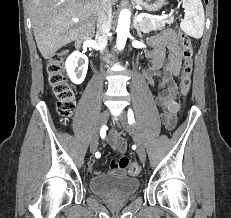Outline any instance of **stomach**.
Listing matches in <instances>:
<instances>
[{"mask_svg":"<svg viewBox=\"0 0 231 218\" xmlns=\"http://www.w3.org/2000/svg\"><path fill=\"white\" fill-rule=\"evenodd\" d=\"M148 12H157L166 3V0H132Z\"/></svg>","mask_w":231,"mask_h":218,"instance_id":"0dacf381","label":"stomach"}]
</instances>
